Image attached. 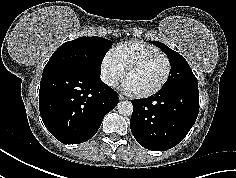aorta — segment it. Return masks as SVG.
Here are the masks:
<instances>
[{
    "label": "aorta",
    "mask_w": 236,
    "mask_h": 178,
    "mask_svg": "<svg viewBox=\"0 0 236 178\" xmlns=\"http://www.w3.org/2000/svg\"><path fill=\"white\" fill-rule=\"evenodd\" d=\"M119 114L123 116H131L133 113V105L130 101H121L117 105Z\"/></svg>",
    "instance_id": "obj_1"
}]
</instances>
